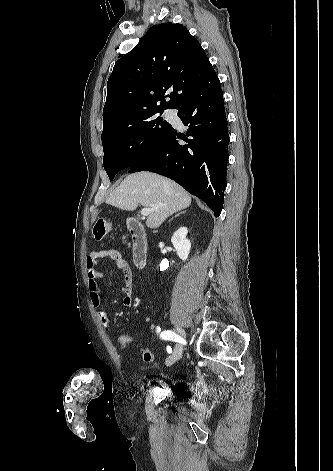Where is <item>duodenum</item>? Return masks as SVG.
Masks as SVG:
<instances>
[{
  "label": "duodenum",
  "instance_id": "duodenum-1",
  "mask_svg": "<svg viewBox=\"0 0 333 471\" xmlns=\"http://www.w3.org/2000/svg\"><path fill=\"white\" fill-rule=\"evenodd\" d=\"M127 228L132 238V256L136 267L144 268L147 264L148 243L143 225L136 219L127 221Z\"/></svg>",
  "mask_w": 333,
  "mask_h": 471
}]
</instances>
